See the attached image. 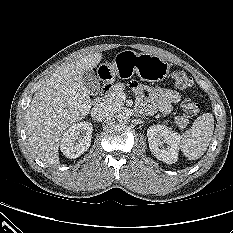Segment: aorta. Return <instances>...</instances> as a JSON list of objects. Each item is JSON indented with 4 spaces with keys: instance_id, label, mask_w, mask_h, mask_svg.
I'll list each match as a JSON object with an SVG mask.
<instances>
[{
    "instance_id": "762f6f07",
    "label": "aorta",
    "mask_w": 233,
    "mask_h": 233,
    "mask_svg": "<svg viewBox=\"0 0 233 233\" xmlns=\"http://www.w3.org/2000/svg\"><path fill=\"white\" fill-rule=\"evenodd\" d=\"M118 121L122 124L130 122V115L127 112H122L118 115Z\"/></svg>"
}]
</instances>
